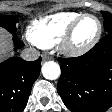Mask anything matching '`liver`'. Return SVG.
<instances>
[{
    "mask_svg": "<svg viewBox=\"0 0 112 112\" xmlns=\"http://www.w3.org/2000/svg\"><path fill=\"white\" fill-rule=\"evenodd\" d=\"M11 38L9 33L0 28V61L11 54Z\"/></svg>",
    "mask_w": 112,
    "mask_h": 112,
    "instance_id": "obj_1",
    "label": "liver"
}]
</instances>
